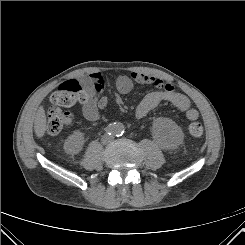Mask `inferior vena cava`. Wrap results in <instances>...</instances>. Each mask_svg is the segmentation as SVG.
<instances>
[{
    "label": "inferior vena cava",
    "mask_w": 245,
    "mask_h": 245,
    "mask_svg": "<svg viewBox=\"0 0 245 245\" xmlns=\"http://www.w3.org/2000/svg\"><path fill=\"white\" fill-rule=\"evenodd\" d=\"M113 138L114 137L112 135H104L102 137V143L107 144V143L111 142L113 140Z\"/></svg>",
    "instance_id": "inferior-vena-cava-1"
}]
</instances>
